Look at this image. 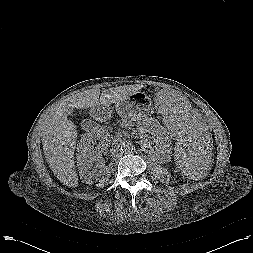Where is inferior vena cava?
Listing matches in <instances>:
<instances>
[{"instance_id": "obj_1", "label": "inferior vena cava", "mask_w": 253, "mask_h": 253, "mask_svg": "<svg viewBox=\"0 0 253 253\" xmlns=\"http://www.w3.org/2000/svg\"><path fill=\"white\" fill-rule=\"evenodd\" d=\"M111 155L113 158H119L123 155V152L119 147H116L111 150Z\"/></svg>"}]
</instances>
